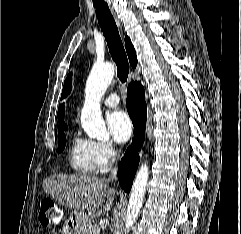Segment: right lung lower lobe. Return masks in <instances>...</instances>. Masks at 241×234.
Here are the masks:
<instances>
[{
    "mask_svg": "<svg viewBox=\"0 0 241 234\" xmlns=\"http://www.w3.org/2000/svg\"><path fill=\"white\" fill-rule=\"evenodd\" d=\"M145 92L139 82H131L128 85L127 111L134 125V138L132 145L128 147L122 158L119 169L118 179L121 188L129 193L135 177L139 163L138 150L145 138V126L147 119V105L144 101Z\"/></svg>",
    "mask_w": 241,
    "mask_h": 234,
    "instance_id": "obj_1",
    "label": "right lung lower lobe"
}]
</instances>
